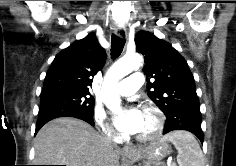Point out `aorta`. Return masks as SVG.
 I'll return each instance as SVG.
<instances>
[{
	"label": "aorta",
	"instance_id": "762f6f07",
	"mask_svg": "<svg viewBox=\"0 0 236 166\" xmlns=\"http://www.w3.org/2000/svg\"><path fill=\"white\" fill-rule=\"evenodd\" d=\"M142 57L138 54L126 55L108 70L102 88V100L109 110L118 113L121 110L117 83L120 79L142 66Z\"/></svg>",
	"mask_w": 236,
	"mask_h": 166
}]
</instances>
